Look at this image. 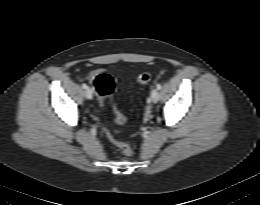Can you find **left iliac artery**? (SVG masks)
<instances>
[{
    "instance_id": "44dca946",
    "label": "left iliac artery",
    "mask_w": 260,
    "mask_h": 205,
    "mask_svg": "<svg viewBox=\"0 0 260 205\" xmlns=\"http://www.w3.org/2000/svg\"><path fill=\"white\" fill-rule=\"evenodd\" d=\"M156 87H157L158 90H160L162 88V85L161 84H157Z\"/></svg>"
}]
</instances>
